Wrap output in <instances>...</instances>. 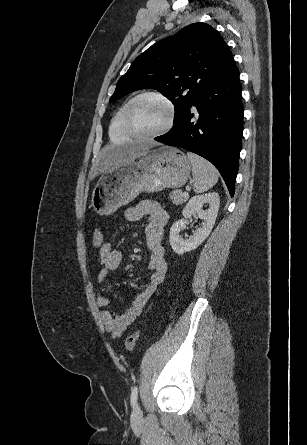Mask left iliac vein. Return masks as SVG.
<instances>
[{"instance_id": "1", "label": "left iliac vein", "mask_w": 307, "mask_h": 445, "mask_svg": "<svg viewBox=\"0 0 307 445\" xmlns=\"http://www.w3.org/2000/svg\"><path fill=\"white\" fill-rule=\"evenodd\" d=\"M131 417L134 421H138L142 418V411L138 404L135 405Z\"/></svg>"}]
</instances>
